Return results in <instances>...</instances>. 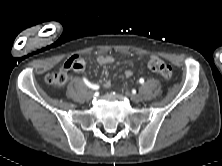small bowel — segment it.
I'll list each match as a JSON object with an SVG mask.
<instances>
[{"label": "small bowel", "instance_id": "obj_1", "mask_svg": "<svg viewBox=\"0 0 222 166\" xmlns=\"http://www.w3.org/2000/svg\"><path fill=\"white\" fill-rule=\"evenodd\" d=\"M114 62V58L110 55H98L96 57V63L100 66H106ZM86 69V62L79 55L70 56L63 64V71L74 70L76 72H84ZM133 74L132 70H126L124 77L129 78ZM111 85L110 81L104 83L105 88H109Z\"/></svg>", "mask_w": 222, "mask_h": 166}]
</instances>
